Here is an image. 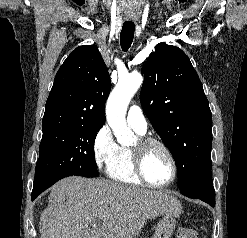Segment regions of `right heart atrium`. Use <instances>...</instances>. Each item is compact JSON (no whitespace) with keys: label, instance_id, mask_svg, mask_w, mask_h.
Returning <instances> with one entry per match:
<instances>
[{"label":"right heart atrium","instance_id":"d8ad5b80","mask_svg":"<svg viewBox=\"0 0 247 238\" xmlns=\"http://www.w3.org/2000/svg\"><path fill=\"white\" fill-rule=\"evenodd\" d=\"M118 145L113 137L110 127L103 124L96 132L92 150L93 158L99 169L106 168L117 151Z\"/></svg>","mask_w":247,"mask_h":238}]
</instances>
